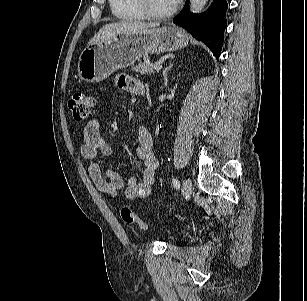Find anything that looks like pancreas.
<instances>
[{
  "instance_id": "obj_1",
  "label": "pancreas",
  "mask_w": 307,
  "mask_h": 301,
  "mask_svg": "<svg viewBox=\"0 0 307 301\" xmlns=\"http://www.w3.org/2000/svg\"><path fill=\"white\" fill-rule=\"evenodd\" d=\"M132 69L141 74L151 75L153 73V63L150 62L148 57H144L143 62H139L136 66H132Z\"/></svg>"
}]
</instances>
